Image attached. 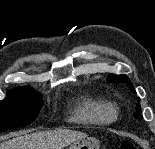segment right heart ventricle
<instances>
[{"mask_svg":"<svg viewBox=\"0 0 155 149\" xmlns=\"http://www.w3.org/2000/svg\"><path fill=\"white\" fill-rule=\"evenodd\" d=\"M115 119L107 101L88 94L82 96L71 113L72 121L84 125H108Z\"/></svg>","mask_w":155,"mask_h":149,"instance_id":"right-heart-ventricle-1","label":"right heart ventricle"}]
</instances>
